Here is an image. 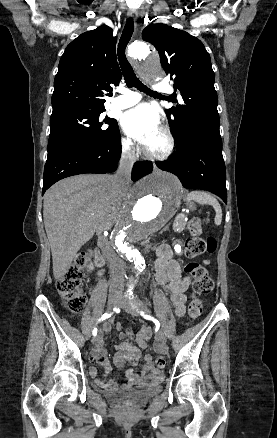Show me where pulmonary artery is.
I'll list each match as a JSON object with an SVG mask.
<instances>
[{
    "instance_id": "pulmonary-artery-1",
    "label": "pulmonary artery",
    "mask_w": 277,
    "mask_h": 438,
    "mask_svg": "<svg viewBox=\"0 0 277 438\" xmlns=\"http://www.w3.org/2000/svg\"><path fill=\"white\" fill-rule=\"evenodd\" d=\"M171 83L172 80L156 81L154 86L156 90H164L165 86H169ZM140 92L137 87H123L122 95L127 97L116 99L114 105L119 109L130 108L140 101L141 98L138 96Z\"/></svg>"
}]
</instances>
